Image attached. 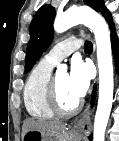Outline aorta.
Returning a JSON list of instances; mask_svg holds the SVG:
<instances>
[{
    "label": "aorta",
    "mask_w": 119,
    "mask_h": 141,
    "mask_svg": "<svg viewBox=\"0 0 119 141\" xmlns=\"http://www.w3.org/2000/svg\"><path fill=\"white\" fill-rule=\"evenodd\" d=\"M77 24L89 27L95 35L99 69V99L94 120L93 141H104L113 102L114 86L110 33L104 18L86 7L71 8L58 15L54 21V30L62 33ZM58 70H66V66H58Z\"/></svg>",
    "instance_id": "762f6f07"
}]
</instances>
